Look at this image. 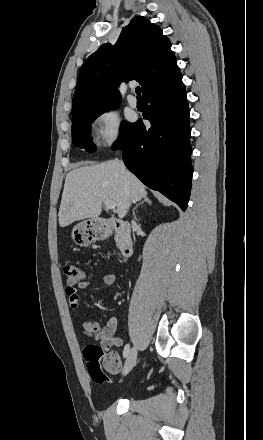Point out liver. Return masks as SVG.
<instances>
[{"label":"liver","instance_id":"obj_1","mask_svg":"<svg viewBox=\"0 0 263 440\" xmlns=\"http://www.w3.org/2000/svg\"><path fill=\"white\" fill-rule=\"evenodd\" d=\"M147 195L144 184L131 172L123 171L117 160L84 165L66 175L59 225L66 227L86 218H97L105 199L112 200L120 219L124 218L131 202Z\"/></svg>","mask_w":263,"mask_h":440}]
</instances>
